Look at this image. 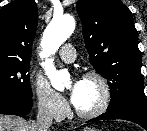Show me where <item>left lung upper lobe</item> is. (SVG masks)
Returning <instances> with one entry per match:
<instances>
[{
	"instance_id": "5c2ea615",
	"label": "left lung upper lobe",
	"mask_w": 147,
	"mask_h": 131,
	"mask_svg": "<svg viewBox=\"0 0 147 131\" xmlns=\"http://www.w3.org/2000/svg\"><path fill=\"white\" fill-rule=\"evenodd\" d=\"M77 12L90 63L110 88L107 110L147 108L138 34L130 10L119 0H78Z\"/></svg>"
}]
</instances>
